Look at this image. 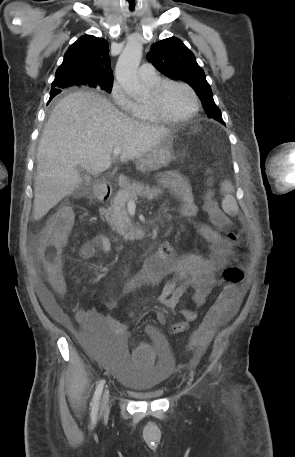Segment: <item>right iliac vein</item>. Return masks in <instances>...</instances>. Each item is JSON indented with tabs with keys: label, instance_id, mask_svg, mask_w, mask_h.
Returning a JSON list of instances; mask_svg holds the SVG:
<instances>
[{
	"label": "right iliac vein",
	"instance_id": "63e3f726",
	"mask_svg": "<svg viewBox=\"0 0 295 457\" xmlns=\"http://www.w3.org/2000/svg\"><path fill=\"white\" fill-rule=\"evenodd\" d=\"M109 408V391L105 390L100 400V410L106 412Z\"/></svg>",
	"mask_w": 295,
	"mask_h": 457
}]
</instances>
